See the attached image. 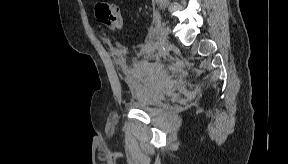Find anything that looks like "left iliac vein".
<instances>
[{
    "label": "left iliac vein",
    "instance_id": "left-iliac-vein-1",
    "mask_svg": "<svg viewBox=\"0 0 288 164\" xmlns=\"http://www.w3.org/2000/svg\"><path fill=\"white\" fill-rule=\"evenodd\" d=\"M169 33H170V28L167 25H163L158 29L157 32V43H158V48L162 50L169 39Z\"/></svg>",
    "mask_w": 288,
    "mask_h": 164
}]
</instances>
